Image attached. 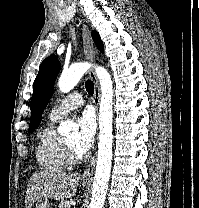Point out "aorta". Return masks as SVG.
Returning a JSON list of instances; mask_svg holds the SVG:
<instances>
[{
  "label": "aorta",
  "mask_w": 199,
  "mask_h": 208,
  "mask_svg": "<svg viewBox=\"0 0 199 208\" xmlns=\"http://www.w3.org/2000/svg\"><path fill=\"white\" fill-rule=\"evenodd\" d=\"M91 67L89 63H76L61 74L58 87L61 92L68 93L72 90ZM96 75L101 87V102L99 109V142L98 159L92 187V198L90 208H103L108 183L111 173L112 161V119H113V84L108 71L101 67H95ZM77 125L70 120L62 122L58 132L67 135L70 132H76Z\"/></svg>",
  "instance_id": "aorta-1"
}]
</instances>
